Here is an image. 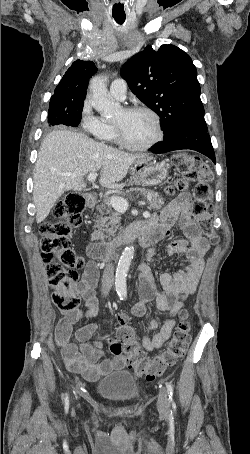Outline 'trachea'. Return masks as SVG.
Listing matches in <instances>:
<instances>
[{"label": "trachea", "instance_id": "3493384b", "mask_svg": "<svg viewBox=\"0 0 250 454\" xmlns=\"http://www.w3.org/2000/svg\"><path fill=\"white\" fill-rule=\"evenodd\" d=\"M113 18L115 19V21L118 23V24H123L126 17L125 16H114L113 15Z\"/></svg>", "mask_w": 250, "mask_h": 454}]
</instances>
